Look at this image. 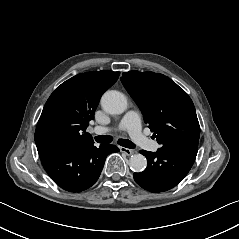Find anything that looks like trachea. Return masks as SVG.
<instances>
[{
  "label": "trachea",
  "instance_id": "1",
  "mask_svg": "<svg viewBox=\"0 0 239 239\" xmlns=\"http://www.w3.org/2000/svg\"><path fill=\"white\" fill-rule=\"evenodd\" d=\"M95 141L98 143H111L113 141L112 136L99 135L95 137ZM119 145L126 148H134V144L128 139H119L117 141Z\"/></svg>",
  "mask_w": 239,
  "mask_h": 239
}]
</instances>
